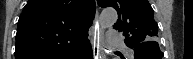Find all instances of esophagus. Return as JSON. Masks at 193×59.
<instances>
[{"label": "esophagus", "instance_id": "1", "mask_svg": "<svg viewBox=\"0 0 193 59\" xmlns=\"http://www.w3.org/2000/svg\"><path fill=\"white\" fill-rule=\"evenodd\" d=\"M101 25L98 20V10L96 11V16H95V22H94V32L91 38V42L93 45V58L94 59H99V54H100V39H101Z\"/></svg>", "mask_w": 193, "mask_h": 59}]
</instances>
